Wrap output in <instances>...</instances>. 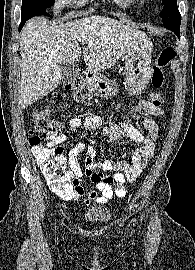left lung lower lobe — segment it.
Segmentation results:
<instances>
[{
  "label": "left lung lower lobe",
  "instance_id": "1",
  "mask_svg": "<svg viewBox=\"0 0 195 270\" xmlns=\"http://www.w3.org/2000/svg\"><path fill=\"white\" fill-rule=\"evenodd\" d=\"M176 35H177V37L180 39V31H175L174 32Z\"/></svg>",
  "mask_w": 195,
  "mask_h": 270
}]
</instances>
